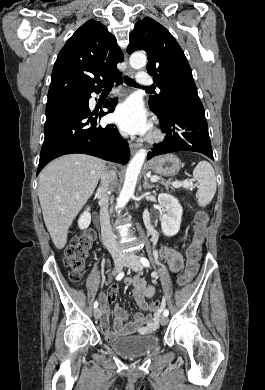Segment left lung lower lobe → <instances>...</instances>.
<instances>
[{
    "label": "left lung lower lobe",
    "mask_w": 265,
    "mask_h": 390,
    "mask_svg": "<svg viewBox=\"0 0 265 390\" xmlns=\"http://www.w3.org/2000/svg\"><path fill=\"white\" fill-rule=\"evenodd\" d=\"M153 112L159 118L160 128L166 137L154 145L147 159L171 152L195 151L214 160L208 124L199 96L169 99L164 113Z\"/></svg>",
    "instance_id": "1"
}]
</instances>
